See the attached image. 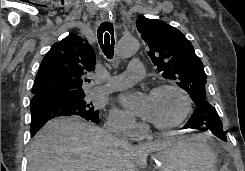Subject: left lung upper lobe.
Here are the masks:
<instances>
[{"instance_id":"left-lung-upper-lobe-1","label":"left lung upper lobe","mask_w":245,"mask_h":171,"mask_svg":"<svg viewBox=\"0 0 245 171\" xmlns=\"http://www.w3.org/2000/svg\"><path fill=\"white\" fill-rule=\"evenodd\" d=\"M136 26L162 76L174 80L196 105L207 101L203 63L184 34L161 20L145 17L138 18Z\"/></svg>"}]
</instances>
